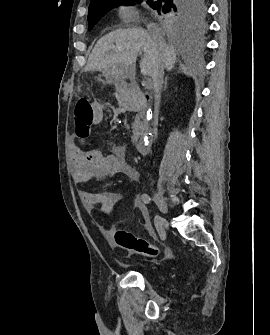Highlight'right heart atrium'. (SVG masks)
<instances>
[{"label":"right heart atrium","instance_id":"obj_1","mask_svg":"<svg viewBox=\"0 0 270 335\" xmlns=\"http://www.w3.org/2000/svg\"><path fill=\"white\" fill-rule=\"evenodd\" d=\"M119 15L126 24H133L140 21V17L136 9L130 4H123L119 9Z\"/></svg>","mask_w":270,"mask_h":335}]
</instances>
